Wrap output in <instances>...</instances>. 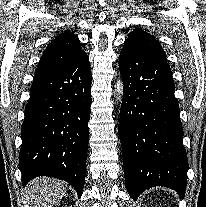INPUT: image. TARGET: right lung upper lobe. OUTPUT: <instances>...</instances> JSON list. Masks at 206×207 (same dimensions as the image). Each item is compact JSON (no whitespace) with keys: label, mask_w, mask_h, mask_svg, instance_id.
Instances as JSON below:
<instances>
[{"label":"right lung upper lobe","mask_w":206,"mask_h":207,"mask_svg":"<svg viewBox=\"0 0 206 207\" xmlns=\"http://www.w3.org/2000/svg\"><path fill=\"white\" fill-rule=\"evenodd\" d=\"M86 56L77 36L71 32H65L56 37L42 54L36 76L61 71Z\"/></svg>","instance_id":"1"}]
</instances>
